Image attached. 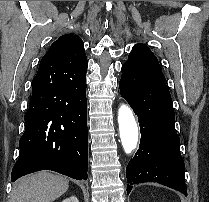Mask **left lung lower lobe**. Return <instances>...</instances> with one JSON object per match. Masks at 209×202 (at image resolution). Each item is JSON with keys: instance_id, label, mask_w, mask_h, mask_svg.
Wrapping results in <instances>:
<instances>
[{"instance_id": "1", "label": "left lung lower lobe", "mask_w": 209, "mask_h": 202, "mask_svg": "<svg viewBox=\"0 0 209 202\" xmlns=\"http://www.w3.org/2000/svg\"><path fill=\"white\" fill-rule=\"evenodd\" d=\"M119 88L138 115L141 131L139 149L126 167L127 194L134 184L157 182L187 195L173 103L165 82L124 64Z\"/></svg>"}]
</instances>
